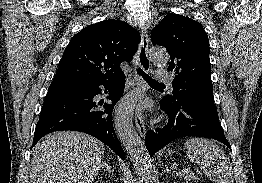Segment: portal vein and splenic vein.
Instances as JSON below:
<instances>
[{"instance_id": "18ae733b", "label": "portal vein and splenic vein", "mask_w": 262, "mask_h": 183, "mask_svg": "<svg viewBox=\"0 0 262 183\" xmlns=\"http://www.w3.org/2000/svg\"><path fill=\"white\" fill-rule=\"evenodd\" d=\"M187 177H188V178H190V177H191V178H195V176H194L193 174H191V173L188 174Z\"/></svg>"}]
</instances>
